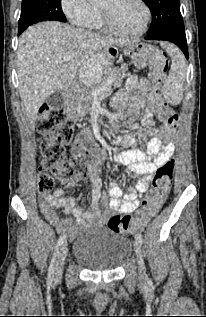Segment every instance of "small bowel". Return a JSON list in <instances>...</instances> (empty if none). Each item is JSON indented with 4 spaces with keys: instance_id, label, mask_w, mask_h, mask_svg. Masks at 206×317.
Instances as JSON below:
<instances>
[{
    "instance_id": "1",
    "label": "small bowel",
    "mask_w": 206,
    "mask_h": 317,
    "mask_svg": "<svg viewBox=\"0 0 206 317\" xmlns=\"http://www.w3.org/2000/svg\"><path fill=\"white\" fill-rule=\"evenodd\" d=\"M126 89L130 96L120 94L115 103L126 108L128 121H135L143 111L142 126L144 130L136 136L126 134L114 140L115 145L125 149L114 157V162L128 165L129 170L142 179L135 185L128 186V192L123 193L116 184L109 186V196L102 192L101 180L97 172L90 175L92 190L90 193L91 208H85L73 197H65L64 191L56 190L53 194L39 198V207L47 220L60 231L67 232L70 238L77 236L86 225L104 224L114 212L133 213L139 206V199L147 190L153 173L167 161L174 152L173 140L175 127L170 126L166 120L173 110L164 101L160 88L152 85L145 78L130 76L126 82ZM158 121L159 126H156ZM138 142H146L145 148H136ZM74 149V148H73ZM103 154H98L96 160L102 161ZM76 182V181H75ZM75 182L63 183L72 187ZM101 206L104 207L101 210ZM63 209L74 220L62 217L56 209Z\"/></svg>"
}]
</instances>
